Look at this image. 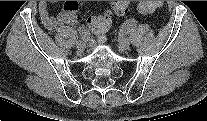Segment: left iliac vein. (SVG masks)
I'll return each instance as SVG.
<instances>
[{
  "mask_svg": "<svg viewBox=\"0 0 207 121\" xmlns=\"http://www.w3.org/2000/svg\"><path fill=\"white\" fill-rule=\"evenodd\" d=\"M119 48L121 50H128L130 48V41L126 38H123L119 41Z\"/></svg>",
  "mask_w": 207,
  "mask_h": 121,
  "instance_id": "obj_1",
  "label": "left iliac vein"
}]
</instances>
